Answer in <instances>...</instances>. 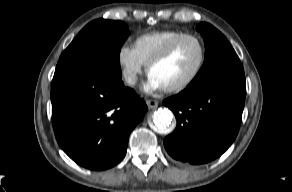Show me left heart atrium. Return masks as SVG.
<instances>
[{"mask_svg":"<svg viewBox=\"0 0 292 192\" xmlns=\"http://www.w3.org/2000/svg\"><path fill=\"white\" fill-rule=\"evenodd\" d=\"M162 89H164L163 85L155 77L149 74L144 85V90L147 92H155Z\"/></svg>","mask_w":292,"mask_h":192,"instance_id":"39dd6f15","label":"left heart atrium"}]
</instances>
